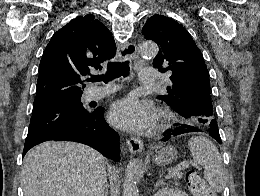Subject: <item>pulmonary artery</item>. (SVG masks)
I'll return each mask as SVG.
<instances>
[{
	"mask_svg": "<svg viewBox=\"0 0 260 196\" xmlns=\"http://www.w3.org/2000/svg\"><path fill=\"white\" fill-rule=\"evenodd\" d=\"M140 84H155L157 69H140ZM118 90V85H108V87H90L86 90V100L88 102L101 99Z\"/></svg>",
	"mask_w": 260,
	"mask_h": 196,
	"instance_id": "obj_1",
	"label": "pulmonary artery"
}]
</instances>
